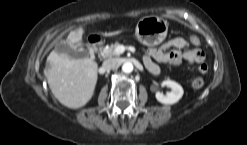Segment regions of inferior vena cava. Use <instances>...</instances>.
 <instances>
[{
	"instance_id": "602c4592",
	"label": "inferior vena cava",
	"mask_w": 247,
	"mask_h": 145,
	"mask_svg": "<svg viewBox=\"0 0 247 145\" xmlns=\"http://www.w3.org/2000/svg\"><path fill=\"white\" fill-rule=\"evenodd\" d=\"M119 65L120 64H119L118 59L110 58L103 62L102 67L105 70H113V69H117Z\"/></svg>"
}]
</instances>
